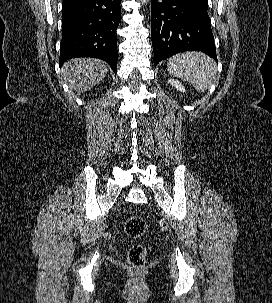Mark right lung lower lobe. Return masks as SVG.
I'll return each mask as SVG.
<instances>
[{"instance_id":"obj_1","label":"right lung lower lobe","mask_w":272,"mask_h":303,"mask_svg":"<svg viewBox=\"0 0 272 303\" xmlns=\"http://www.w3.org/2000/svg\"><path fill=\"white\" fill-rule=\"evenodd\" d=\"M121 0H80L62 6V40L59 65L74 57H94L110 64L116 73L117 35Z\"/></svg>"}]
</instances>
